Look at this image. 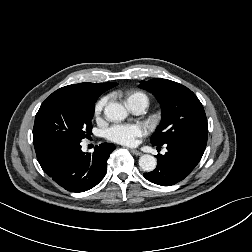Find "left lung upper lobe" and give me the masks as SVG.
<instances>
[{"label":"left lung upper lobe","mask_w":252,"mask_h":252,"mask_svg":"<svg viewBox=\"0 0 252 252\" xmlns=\"http://www.w3.org/2000/svg\"><path fill=\"white\" fill-rule=\"evenodd\" d=\"M139 87L152 92L162 108V120L151 137L153 145L185 138L207 141L208 125L204 108L187 87L167 79L141 81Z\"/></svg>","instance_id":"left-lung-upper-lobe-1"}]
</instances>
